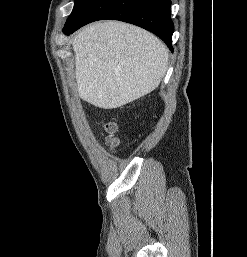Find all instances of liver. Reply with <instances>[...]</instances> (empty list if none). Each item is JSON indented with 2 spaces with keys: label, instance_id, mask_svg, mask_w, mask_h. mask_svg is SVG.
<instances>
[{
  "label": "liver",
  "instance_id": "6515ba94",
  "mask_svg": "<svg viewBox=\"0 0 247 257\" xmlns=\"http://www.w3.org/2000/svg\"><path fill=\"white\" fill-rule=\"evenodd\" d=\"M79 97L115 109L150 93L162 81L168 51L152 33L119 21L90 24L72 40Z\"/></svg>",
  "mask_w": 247,
  "mask_h": 257
}]
</instances>
